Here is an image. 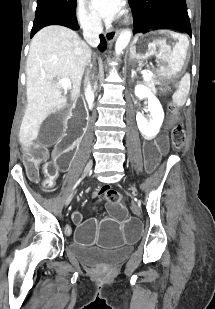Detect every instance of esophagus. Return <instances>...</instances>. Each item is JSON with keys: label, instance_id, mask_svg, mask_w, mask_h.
<instances>
[{"label": "esophagus", "instance_id": "obj_1", "mask_svg": "<svg viewBox=\"0 0 215 309\" xmlns=\"http://www.w3.org/2000/svg\"><path fill=\"white\" fill-rule=\"evenodd\" d=\"M118 35V31L113 29H107L105 32V38L108 43H112Z\"/></svg>", "mask_w": 215, "mask_h": 309}]
</instances>
